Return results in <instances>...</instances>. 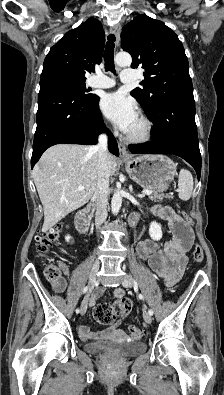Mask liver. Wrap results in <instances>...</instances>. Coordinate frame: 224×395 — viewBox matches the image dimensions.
Returning a JSON list of instances; mask_svg holds the SVG:
<instances>
[{"label":"liver","mask_w":224,"mask_h":395,"mask_svg":"<svg viewBox=\"0 0 224 395\" xmlns=\"http://www.w3.org/2000/svg\"><path fill=\"white\" fill-rule=\"evenodd\" d=\"M107 161L110 177L117 159L108 153ZM97 163L92 146L59 144L43 153L32 172L44 209L42 232L90 200L97 185ZM79 186L84 189L78 190Z\"/></svg>","instance_id":"liver-1"}]
</instances>
